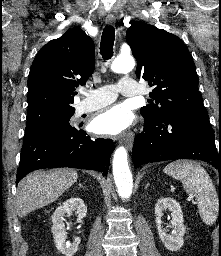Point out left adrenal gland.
<instances>
[{"label":"left adrenal gland","mask_w":221,"mask_h":256,"mask_svg":"<svg viewBox=\"0 0 221 256\" xmlns=\"http://www.w3.org/2000/svg\"><path fill=\"white\" fill-rule=\"evenodd\" d=\"M149 185H150V184H149V183H147V184H146V186H145V189H147Z\"/></svg>","instance_id":"obj_1"}]
</instances>
